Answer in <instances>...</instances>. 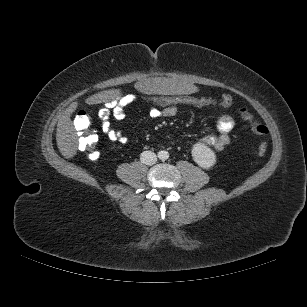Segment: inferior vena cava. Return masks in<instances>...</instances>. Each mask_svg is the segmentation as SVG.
Returning a JSON list of instances; mask_svg holds the SVG:
<instances>
[{
  "instance_id": "1",
  "label": "inferior vena cava",
  "mask_w": 307,
  "mask_h": 307,
  "mask_svg": "<svg viewBox=\"0 0 307 307\" xmlns=\"http://www.w3.org/2000/svg\"><path fill=\"white\" fill-rule=\"evenodd\" d=\"M140 161L146 165H153L157 161V156L152 151H143L140 155Z\"/></svg>"
}]
</instances>
